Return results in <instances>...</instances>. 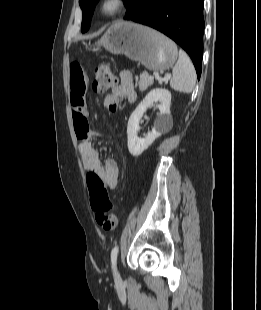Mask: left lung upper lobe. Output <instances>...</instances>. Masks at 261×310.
Returning <instances> with one entry per match:
<instances>
[{
	"label": "left lung upper lobe",
	"mask_w": 261,
	"mask_h": 310,
	"mask_svg": "<svg viewBox=\"0 0 261 310\" xmlns=\"http://www.w3.org/2000/svg\"><path fill=\"white\" fill-rule=\"evenodd\" d=\"M98 1L99 0H79V5L83 11L82 32L88 31ZM135 2L136 0H124L125 6L128 8V13L132 10Z\"/></svg>",
	"instance_id": "5c2ea615"
}]
</instances>
